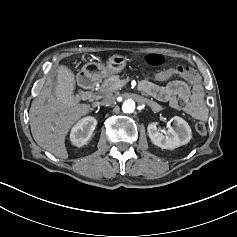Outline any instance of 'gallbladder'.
Instances as JSON below:
<instances>
[{"label":"gallbladder","instance_id":"bac80fb5","mask_svg":"<svg viewBox=\"0 0 237 237\" xmlns=\"http://www.w3.org/2000/svg\"><path fill=\"white\" fill-rule=\"evenodd\" d=\"M60 83L56 86L59 101L64 105L73 103L72 90L74 89V75L70 68H62L58 71Z\"/></svg>","mask_w":237,"mask_h":237}]
</instances>
